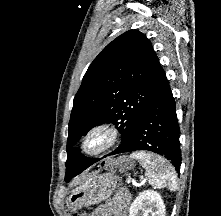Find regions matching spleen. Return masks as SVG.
I'll use <instances>...</instances> for the list:
<instances>
[{
	"mask_svg": "<svg viewBox=\"0 0 221 216\" xmlns=\"http://www.w3.org/2000/svg\"><path fill=\"white\" fill-rule=\"evenodd\" d=\"M131 157L140 161L145 169V176L153 188L167 187L170 191L177 190L175 170L164 158L144 151L134 152Z\"/></svg>",
	"mask_w": 221,
	"mask_h": 216,
	"instance_id": "spleen-1",
	"label": "spleen"
}]
</instances>
